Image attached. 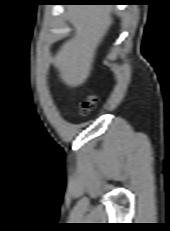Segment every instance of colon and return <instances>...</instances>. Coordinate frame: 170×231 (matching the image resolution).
<instances>
[{"label":"colon","instance_id":"colon-1","mask_svg":"<svg viewBox=\"0 0 170 231\" xmlns=\"http://www.w3.org/2000/svg\"><path fill=\"white\" fill-rule=\"evenodd\" d=\"M96 101H97L96 96L94 95L89 96L82 104L81 113L83 115L89 114V112L92 110L93 106L95 105Z\"/></svg>","mask_w":170,"mask_h":231}]
</instances>
